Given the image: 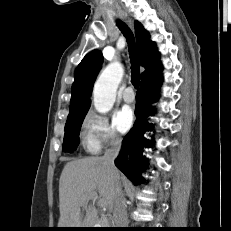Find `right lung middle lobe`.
<instances>
[{
    "instance_id": "dd1d6c3e",
    "label": "right lung middle lobe",
    "mask_w": 231,
    "mask_h": 231,
    "mask_svg": "<svg viewBox=\"0 0 231 231\" xmlns=\"http://www.w3.org/2000/svg\"><path fill=\"white\" fill-rule=\"evenodd\" d=\"M87 111L76 114L68 115L65 125V135L63 140V151L73 152L79 144V132Z\"/></svg>"
}]
</instances>
